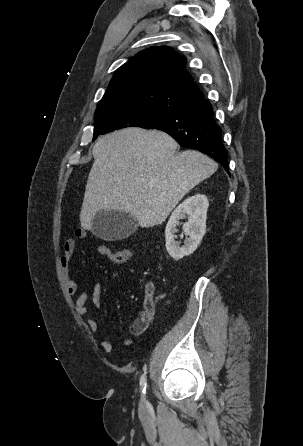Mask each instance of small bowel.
Instances as JSON below:
<instances>
[{"instance_id": "obj_1", "label": "small bowel", "mask_w": 303, "mask_h": 446, "mask_svg": "<svg viewBox=\"0 0 303 446\" xmlns=\"http://www.w3.org/2000/svg\"><path fill=\"white\" fill-rule=\"evenodd\" d=\"M86 235L87 233L83 228H79L75 232L76 238L79 239L85 238ZM104 245L105 244L103 243L98 244L97 246L98 252L101 251ZM75 250H76L75 239L73 238L66 239L63 245V255L60 258V266L67 291L70 294L78 293V297L75 302L76 311L81 315H88L91 311V309L87 305L88 292L86 290L80 291L78 283L70 277V265ZM116 275L117 273L113 272L112 278L116 277ZM101 293H102L101 284L98 281H96L92 288V297H91L93 309L99 308L101 301ZM153 296H154V287L153 285L149 284L145 288V298L144 302L142 303L139 309L138 316L130 325V333L132 335L137 336L142 334L153 322L155 316V303L153 300ZM87 324L91 331L93 332L100 331V325L96 320L90 319L88 320ZM130 342L131 340L127 339L124 340L122 344L127 346L130 344ZM100 345L101 348L106 353H110L115 350V344L110 340H103Z\"/></svg>"}]
</instances>
